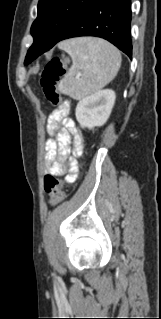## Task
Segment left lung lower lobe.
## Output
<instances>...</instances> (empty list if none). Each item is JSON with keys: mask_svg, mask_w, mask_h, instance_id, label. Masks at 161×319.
I'll return each mask as SVG.
<instances>
[{"mask_svg": "<svg viewBox=\"0 0 161 319\" xmlns=\"http://www.w3.org/2000/svg\"><path fill=\"white\" fill-rule=\"evenodd\" d=\"M130 23L131 0H96L61 40L79 36L100 37L114 44L131 59ZM36 55H27L25 64L30 63Z\"/></svg>", "mask_w": 161, "mask_h": 319, "instance_id": "1", "label": "left lung lower lobe"}]
</instances>
